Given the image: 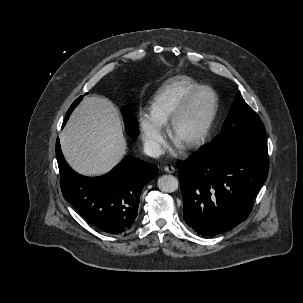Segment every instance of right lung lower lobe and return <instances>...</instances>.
<instances>
[{"label": "right lung lower lobe", "instance_id": "right-lung-lower-lobe-1", "mask_svg": "<svg viewBox=\"0 0 303 303\" xmlns=\"http://www.w3.org/2000/svg\"><path fill=\"white\" fill-rule=\"evenodd\" d=\"M56 156L62 194L83 218L110 234H120L132 227L141 191L158 173L155 164L127 156L108 174L86 177L66 163L59 139Z\"/></svg>", "mask_w": 303, "mask_h": 303}]
</instances>
